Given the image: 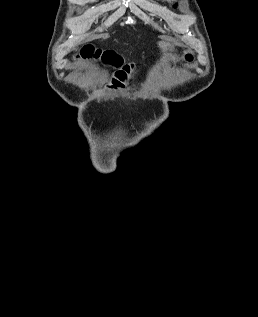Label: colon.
<instances>
[{"label": "colon", "mask_w": 258, "mask_h": 317, "mask_svg": "<svg viewBox=\"0 0 258 317\" xmlns=\"http://www.w3.org/2000/svg\"><path fill=\"white\" fill-rule=\"evenodd\" d=\"M77 57L84 61H101L103 64L114 68L118 67L121 63V58L115 51L102 50L93 44H88L82 47ZM186 59L190 61L192 56L188 54Z\"/></svg>", "instance_id": "colon-1"}]
</instances>
